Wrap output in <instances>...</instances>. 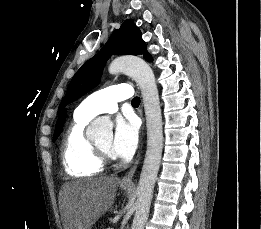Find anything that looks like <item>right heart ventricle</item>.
<instances>
[{
    "instance_id": "right-heart-ventricle-1",
    "label": "right heart ventricle",
    "mask_w": 261,
    "mask_h": 229,
    "mask_svg": "<svg viewBox=\"0 0 261 229\" xmlns=\"http://www.w3.org/2000/svg\"><path fill=\"white\" fill-rule=\"evenodd\" d=\"M85 114L79 106L74 109L73 122L61 143V157L65 170L75 176H93L102 172L103 160L96 145L87 138L84 129L93 118Z\"/></svg>"
}]
</instances>
